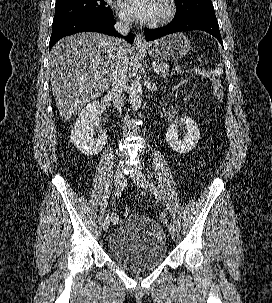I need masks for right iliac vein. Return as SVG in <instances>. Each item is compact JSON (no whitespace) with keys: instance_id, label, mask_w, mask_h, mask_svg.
Here are the masks:
<instances>
[{"instance_id":"obj_1","label":"right iliac vein","mask_w":272,"mask_h":303,"mask_svg":"<svg viewBox=\"0 0 272 303\" xmlns=\"http://www.w3.org/2000/svg\"><path fill=\"white\" fill-rule=\"evenodd\" d=\"M122 167H123V163L120 162L116 168V171H115V183H116V186H119L120 184H122L123 182V179H124V175H123V172H122ZM110 217H108V221H104L103 222V229L104 230H107L109 225H110Z\"/></svg>"}]
</instances>
